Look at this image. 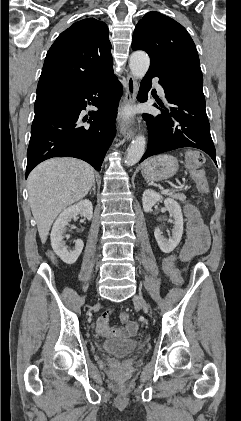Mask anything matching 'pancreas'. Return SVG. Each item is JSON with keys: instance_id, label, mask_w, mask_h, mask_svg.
Segmentation results:
<instances>
[{"instance_id": "cf45deb5", "label": "pancreas", "mask_w": 241, "mask_h": 421, "mask_svg": "<svg viewBox=\"0 0 241 421\" xmlns=\"http://www.w3.org/2000/svg\"><path fill=\"white\" fill-rule=\"evenodd\" d=\"M169 196H171L174 199H177L181 202H184L186 200V196L184 194L181 193H169Z\"/></svg>"}]
</instances>
